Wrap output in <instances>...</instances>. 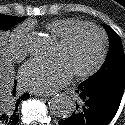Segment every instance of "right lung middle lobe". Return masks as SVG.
Instances as JSON below:
<instances>
[{
    "instance_id": "dd1d6c3e",
    "label": "right lung middle lobe",
    "mask_w": 125,
    "mask_h": 125,
    "mask_svg": "<svg viewBox=\"0 0 125 125\" xmlns=\"http://www.w3.org/2000/svg\"><path fill=\"white\" fill-rule=\"evenodd\" d=\"M26 17H17L0 14V29L7 30L13 27L14 25L22 22ZM13 93L8 99L6 105H11L13 103Z\"/></svg>"
}]
</instances>
